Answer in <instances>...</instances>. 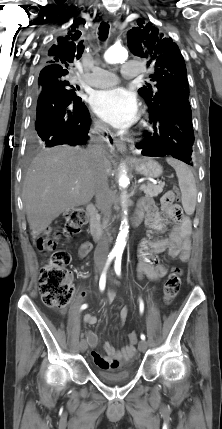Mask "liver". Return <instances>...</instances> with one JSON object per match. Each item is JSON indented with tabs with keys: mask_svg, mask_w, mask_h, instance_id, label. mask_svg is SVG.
Masks as SVG:
<instances>
[{
	"mask_svg": "<svg viewBox=\"0 0 222 429\" xmlns=\"http://www.w3.org/2000/svg\"><path fill=\"white\" fill-rule=\"evenodd\" d=\"M111 174L105 151L92 158L87 150L59 146L42 151L29 166L22 191L27 220L37 237L60 214L88 204L95 194L96 177Z\"/></svg>",
	"mask_w": 222,
	"mask_h": 429,
	"instance_id": "liver-1",
	"label": "liver"
}]
</instances>
